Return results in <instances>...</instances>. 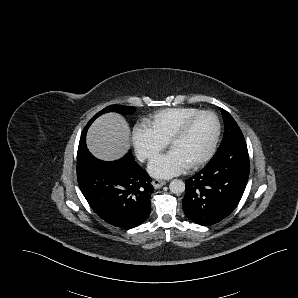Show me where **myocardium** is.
<instances>
[{
    "label": "myocardium",
    "mask_w": 298,
    "mask_h": 298,
    "mask_svg": "<svg viewBox=\"0 0 298 298\" xmlns=\"http://www.w3.org/2000/svg\"><path fill=\"white\" fill-rule=\"evenodd\" d=\"M202 116H209L214 125V132L213 136L208 144V147L206 151L197 158L192 164L189 165V168H194L203 162H205L211 155L215 144L217 142L218 136H219V123L217 118L213 113L210 111H199L198 113L182 120L180 123L177 124V126L170 132V134L166 137V145L168 148H170L171 144L198 118Z\"/></svg>",
    "instance_id": "obj_1"
}]
</instances>
